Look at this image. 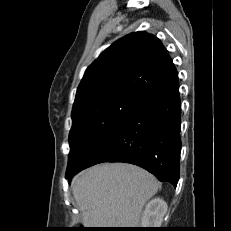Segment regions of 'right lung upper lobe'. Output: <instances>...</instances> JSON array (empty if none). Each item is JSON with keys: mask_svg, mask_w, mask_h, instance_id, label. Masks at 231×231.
I'll return each mask as SVG.
<instances>
[{"mask_svg": "<svg viewBox=\"0 0 231 231\" xmlns=\"http://www.w3.org/2000/svg\"><path fill=\"white\" fill-rule=\"evenodd\" d=\"M178 85V73L161 41L139 31L114 42L86 69L72 111L114 94L144 99Z\"/></svg>", "mask_w": 231, "mask_h": 231, "instance_id": "obj_1", "label": "right lung upper lobe"}]
</instances>
